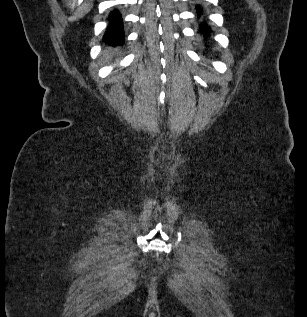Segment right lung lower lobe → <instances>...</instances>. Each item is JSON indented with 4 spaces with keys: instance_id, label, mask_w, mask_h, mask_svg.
<instances>
[{
    "instance_id": "obj_1",
    "label": "right lung lower lobe",
    "mask_w": 307,
    "mask_h": 317,
    "mask_svg": "<svg viewBox=\"0 0 307 317\" xmlns=\"http://www.w3.org/2000/svg\"><path fill=\"white\" fill-rule=\"evenodd\" d=\"M109 26L106 29L103 40L106 43L116 45L124 44L123 23L121 15L117 10L111 12L109 18Z\"/></svg>"
}]
</instances>
